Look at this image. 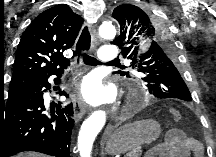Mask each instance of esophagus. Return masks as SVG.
I'll return each instance as SVG.
<instances>
[{
	"label": "esophagus",
	"instance_id": "1",
	"mask_svg": "<svg viewBox=\"0 0 216 157\" xmlns=\"http://www.w3.org/2000/svg\"><path fill=\"white\" fill-rule=\"evenodd\" d=\"M87 27L89 33H90V43H85L84 47L86 49H82L79 46L80 45V37L82 35L83 30ZM98 38V34L94 27H92L91 24L85 23L82 27V30L78 36L76 46H75V51H76V58H75V64L79 66L81 64V54L83 51H90L93 46H94V41ZM72 100H73V107H74V115L76 119H80L87 111V105L84 102L80 90L78 86H75L72 92Z\"/></svg>",
	"mask_w": 216,
	"mask_h": 157
}]
</instances>
